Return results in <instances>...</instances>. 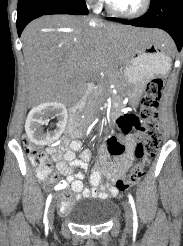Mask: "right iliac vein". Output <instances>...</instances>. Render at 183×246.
<instances>
[{
  "mask_svg": "<svg viewBox=\"0 0 183 246\" xmlns=\"http://www.w3.org/2000/svg\"><path fill=\"white\" fill-rule=\"evenodd\" d=\"M48 223L50 227H53L54 223V206L53 204L50 205L49 211H48Z\"/></svg>",
  "mask_w": 183,
  "mask_h": 246,
  "instance_id": "right-iliac-vein-1",
  "label": "right iliac vein"
}]
</instances>
